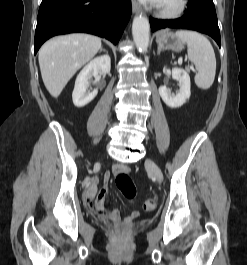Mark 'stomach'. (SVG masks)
I'll list each match as a JSON object with an SVG mask.
<instances>
[{
    "label": "stomach",
    "instance_id": "1",
    "mask_svg": "<svg viewBox=\"0 0 247 265\" xmlns=\"http://www.w3.org/2000/svg\"><path fill=\"white\" fill-rule=\"evenodd\" d=\"M158 47L163 50L180 52L184 49V42L168 30L161 31L156 36Z\"/></svg>",
    "mask_w": 247,
    "mask_h": 265
}]
</instances>
